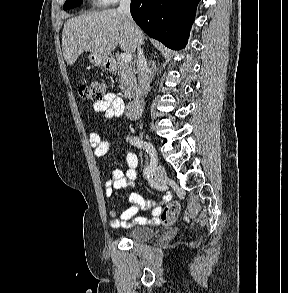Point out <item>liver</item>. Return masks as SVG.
Wrapping results in <instances>:
<instances>
[{
    "label": "liver",
    "instance_id": "6515ba94",
    "mask_svg": "<svg viewBox=\"0 0 288 293\" xmlns=\"http://www.w3.org/2000/svg\"><path fill=\"white\" fill-rule=\"evenodd\" d=\"M118 45L130 54L137 49L127 18L116 9L73 17L64 24L62 50L68 65H73L83 52L110 55Z\"/></svg>",
    "mask_w": 288,
    "mask_h": 293
}]
</instances>
